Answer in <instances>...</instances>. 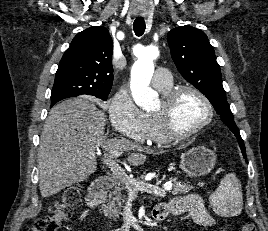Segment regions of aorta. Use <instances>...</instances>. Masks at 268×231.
<instances>
[{
  "label": "aorta",
  "mask_w": 268,
  "mask_h": 231,
  "mask_svg": "<svg viewBox=\"0 0 268 231\" xmlns=\"http://www.w3.org/2000/svg\"><path fill=\"white\" fill-rule=\"evenodd\" d=\"M159 56L155 46L145 47L131 69V92L135 103L142 109L152 106L157 99V92L149 85L154 73L153 61Z\"/></svg>",
  "instance_id": "762f6f07"
}]
</instances>
